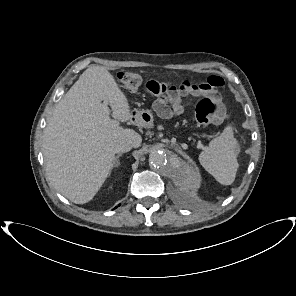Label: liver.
Segmentation results:
<instances>
[{
    "label": "liver",
    "instance_id": "liver-1",
    "mask_svg": "<svg viewBox=\"0 0 296 296\" xmlns=\"http://www.w3.org/2000/svg\"><path fill=\"white\" fill-rule=\"evenodd\" d=\"M107 104L115 120L132 118L113 75L103 66H90L56 105L44 131L42 151L48 178L76 204L89 202L106 180L117 142L127 139L134 147L141 143L137 132L113 123Z\"/></svg>",
    "mask_w": 296,
    "mask_h": 296
}]
</instances>
